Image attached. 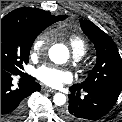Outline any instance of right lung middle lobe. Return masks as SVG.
<instances>
[{
  "label": "right lung middle lobe",
  "instance_id": "dd1d6c3e",
  "mask_svg": "<svg viewBox=\"0 0 122 122\" xmlns=\"http://www.w3.org/2000/svg\"><path fill=\"white\" fill-rule=\"evenodd\" d=\"M47 27L28 25L16 18L1 19V68L21 73L35 38Z\"/></svg>",
  "mask_w": 122,
  "mask_h": 122
}]
</instances>
